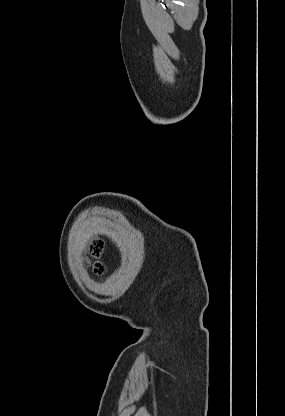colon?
Returning <instances> with one entry per match:
<instances>
[{
    "mask_svg": "<svg viewBox=\"0 0 285 416\" xmlns=\"http://www.w3.org/2000/svg\"><path fill=\"white\" fill-rule=\"evenodd\" d=\"M103 247L104 246H103L102 242H97L96 245L94 246V249H93V255L95 257L99 258L100 255L102 254ZM93 268H94L95 273H98V274H101L104 271V266L100 261H97L94 264Z\"/></svg>",
    "mask_w": 285,
    "mask_h": 416,
    "instance_id": "obj_1",
    "label": "colon"
}]
</instances>
